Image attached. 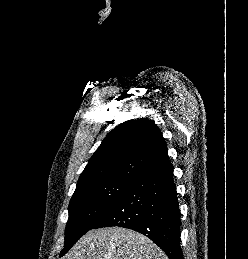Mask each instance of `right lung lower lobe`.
I'll return each instance as SVG.
<instances>
[{
	"label": "right lung lower lobe",
	"instance_id": "right-lung-lower-lobe-1",
	"mask_svg": "<svg viewBox=\"0 0 248 259\" xmlns=\"http://www.w3.org/2000/svg\"><path fill=\"white\" fill-rule=\"evenodd\" d=\"M111 226L135 230L156 243L169 259H183L173 166L147 174L131 184L92 229Z\"/></svg>",
	"mask_w": 248,
	"mask_h": 259
}]
</instances>
